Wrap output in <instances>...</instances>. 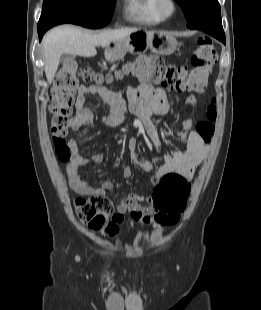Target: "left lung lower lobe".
<instances>
[{
  "instance_id": "obj_1",
  "label": "left lung lower lobe",
  "mask_w": 261,
  "mask_h": 310,
  "mask_svg": "<svg viewBox=\"0 0 261 310\" xmlns=\"http://www.w3.org/2000/svg\"><path fill=\"white\" fill-rule=\"evenodd\" d=\"M190 29H198L226 43L225 34L222 25L213 20H206L201 23H193L187 26Z\"/></svg>"
}]
</instances>
